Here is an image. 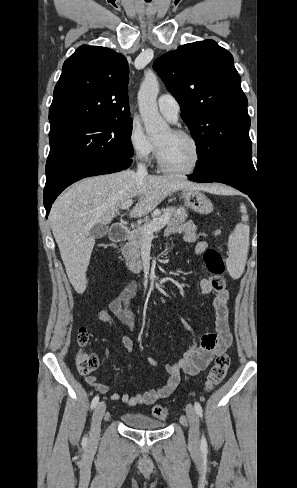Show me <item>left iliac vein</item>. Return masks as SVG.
I'll return each mask as SVG.
<instances>
[{"instance_id": "4c4485c4", "label": "left iliac vein", "mask_w": 297, "mask_h": 488, "mask_svg": "<svg viewBox=\"0 0 297 488\" xmlns=\"http://www.w3.org/2000/svg\"><path fill=\"white\" fill-rule=\"evenodd\" d=\"M186 415L188 422L190 424L189 429V446L193 452H198L200 447L199 442V418L197 416L196 410L191 404L186 405Z\"/></svg>"}]
</instances>
